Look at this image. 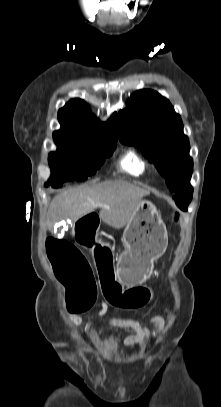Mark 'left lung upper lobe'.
<instances>
[{"mask_svg": "<svg viewBox=\"0 0 221 407\" xmlns=\"http://www.w3.org/2000/svg\"><path fill=\"white\" fill-rule=\"evenodd\" d=\"M119 140L141 149L178 195L193 192V160L180 115L170 102L153 90L135 92L126 109L119 111Z\"/></svg>", "mask_w": 221, "mask_h": 407, "instance_id": "obj_1", "label": "left lung upper lobe"}]
</instances>
